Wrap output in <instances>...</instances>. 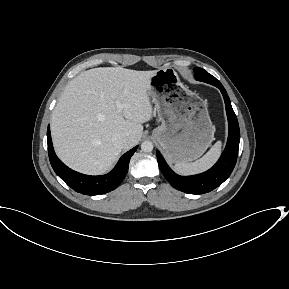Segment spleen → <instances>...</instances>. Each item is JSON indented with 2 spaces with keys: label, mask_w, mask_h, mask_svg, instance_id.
Returning a JSON list of instances; mask_svg holds the SVG:
<instances>
[{
  "label": "spleen",
  "mask_w": 289,
  "mask_h": 289,
  "mask_svg": "<svg viewBox=\"0 0 289 289\" xmlns=\"http://www.w3.org/2000/svg\"><path fill=\"white\" fill-rule=\"evenodd\" d=\"M221 141H217L212 148L195 162H179L174 165V169L181 175H192L201 173L209 169L218 159L221 153Z\"/></svg>",
  "instance_id": "obj_1"
}]
</instances>
